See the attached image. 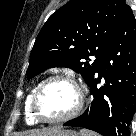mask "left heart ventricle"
<instances>
[{"mask_svg":"<svg viewBox=\"0 0 136 136\" xmlns=\"http://www.w3.org/2000/svg\"><path fill=\"white\" fill-rule=\"evenodd\" d=\"M76 90L68 83H49L39 96L37 108L46 118H58L68 114L76 105Z\"/></svg>","mask_w":136,"mask_h":136,"instance_id":"left-heart-ventricle-1","label":"left heart ventricle"}]
</instances>
